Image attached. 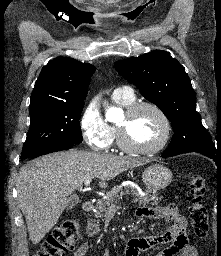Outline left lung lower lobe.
Returning <instances> with one entry per match:
<instances>
[{"label":"left lung lower lobe","instance_id":"obj_1","mask_svg":"<svg viewBox=\"0 0 221 256\" xmlns=\"http://www.w3.org/2000/svg\"><path fill=\"white\" fill-rule=\"evenodd\" d=\"M188 152H198L216 161L217 166L221 165V149L216 148L213 142H194L187 146L168 147L161 157L167 158Z\"/></svg>","mask_w":221,"mask_h":256}]
</instances>
